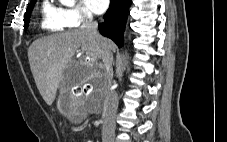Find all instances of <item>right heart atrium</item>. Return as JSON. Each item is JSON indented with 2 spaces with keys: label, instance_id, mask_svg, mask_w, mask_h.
<instances>
[{
  "label": "right heart atrium",
  "instance_id": "d8ad5b80",
  "mask_svg": "<svg viewBox=\"0 0 227 142\" xmlns=\"http://www.w3.org/2000/svg\"><path fill=\"white\" fill-rule=\"evenodd\" d=\"M63 11L69 27H80L92 20V14L81 5L64 8Z\"/></svg>",
  "mask_w": 227,
  "mask_h": 142
}]
</instances>
